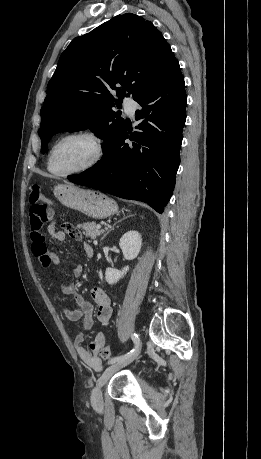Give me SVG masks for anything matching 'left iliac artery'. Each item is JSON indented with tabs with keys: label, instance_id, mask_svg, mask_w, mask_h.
<instances>
[{
	"label": "left iliac artery",
	"instance_id": "1",
	"mask_svg": "<svg viewBox=\"0 0 261 459\" xmlns=\"http://www.w3.org/2000/svg\"><path fill=\"white\" fill-rule=\"evenodd\" d=\"M131 338H132V341H133L134 344H135V347H134L132 350H130V352H128V353H126V354H124V355H120V356H117V357L112 358V359L109 361V364H115L116 362L122 360V359L125 358L126 356H129V355L133 354V353L136 351V349H137L138 346H139V341H140V340H139V337H138L137 334L134 333V334L131 336Z\"/></svg>",
	"mask_w": 261,
	"mask_h": 459
}]
</instances>
